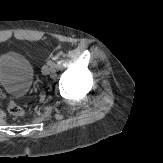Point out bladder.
Segmentation results:
<instances>
[{"instance_id":"31cf9c89","label":"bladder","mask_w":163,"mask_h":163,"mask_svg":"<svg viewBox=\"0 0 163 163\" xmlns=\"http://www.w3.org/2000/svg\"><path fill=\"white\" fill-rule=\"evenodd\" d=\"M33 78L34 67L23 55L12 51L0 55V87L7 94L25 96Z\"/></svg>"}]
</instances>
